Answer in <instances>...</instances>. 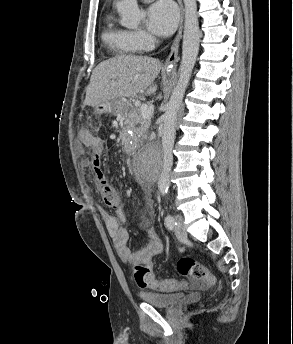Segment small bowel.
<instances>
[{
    "mask_svg": "<svg viewBox=\"0 0 293 344\" xmlns=\"http://www.w3.org/2000/svg\"><path fill=\"white\" fill-rule=\"evenodd\" d=\"M78 144L81 147L96 148L99 145L103 147L104 141L102 138L91 134L88 130L80 129L78 131ZM94 165L96 169L101 170V165ZM100 214L118 256L127 265L134 266L147 263L162 253L163 242L152 224L147 225L146 228L149 237L148 244L144 248L133 252L127 246L129 232L123 227L125 214L122 206H118L113 214L104 209L100 210Z\"/></svg>",
    "mask_w": 293,
    "mask_h": 344,
    "instance_id": "1",
    "label": "small bowel"
}]
</instances>
